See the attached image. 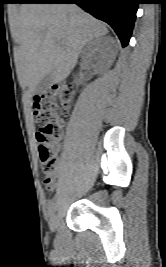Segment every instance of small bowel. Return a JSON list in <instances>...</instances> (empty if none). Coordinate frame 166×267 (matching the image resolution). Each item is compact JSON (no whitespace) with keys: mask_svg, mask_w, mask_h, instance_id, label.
<instances>
[{"mask_svg":"<svg viewBox=\"0 0 166 267\" xmlns=\"http://www.w3.org/2000/svg\"><path fill=\"white\" fill-rule=\"evenodd\" d=\"M44 182H45L46 187H47L50 191L54 190V188H55V184H56L55 176H53L50 180H47V181L45 180Z\"/></svg>","mask_w":166,"mask_h":267,"instance_id":"1","label":"small bowel"}]
</instances>
